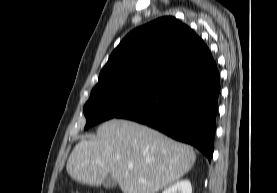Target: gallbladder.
<instances>
[{"label":"gallbladder","instance_id":"gallbladder-1","mask_svg":"<svg viewBox=\"0 0 277 193\" xmlns=\"http://www.w3.org/2000/svg\"><path fill=\"white\" fill-rule=\"evenodd\" d=\"M102 185L106 189H113L116 187L117 182L111 176H107Z\"/></svg>","mask_w":277,"mask_h":193}]
</instances>
